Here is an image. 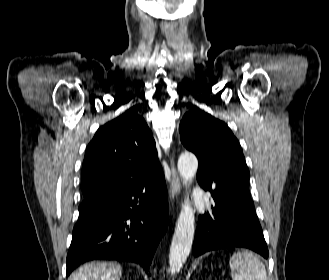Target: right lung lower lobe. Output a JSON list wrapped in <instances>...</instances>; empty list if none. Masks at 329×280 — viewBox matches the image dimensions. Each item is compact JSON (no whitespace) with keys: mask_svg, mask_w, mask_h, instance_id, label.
<instances>
[{"mask_svg":"<svg viewBox=\"0 0 329 280\" xmlns=\"http://www.w3.org/2000/svg\"><path fill=\"white\" fill-rule=\"evenodd\" d=\"M163 172L152 179L102 187L84 197L67 255V275L94 259L140 264L148 272L167 229Z\"/></svg>","mask_w":329,"mask_h":280,"instance_id":"98d812e1","label":"right lung lower lobe"}]
</instances>
